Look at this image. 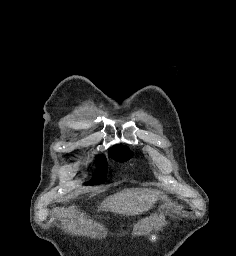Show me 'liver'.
Instances as JSON below:
<instances>
[{"instance_id": "1", "label": "liver", "mask_w": 236, "mask_h": 256, "mask_svg": "<svg viewBox=\"0 0 236 256\" xmlns=\"http://www.w3.org/2000/svg\"><path fill=\"white\" fill-rule=\"evenodd\" d=\"M158 196L159 192L147 190V188H129V190H122V192L105 198L101 202L100 210L135 216V214L148 212L149 208L155 204Z\"/></svg>"}]
</instances>
